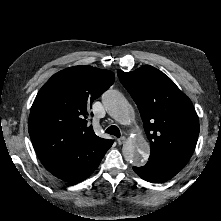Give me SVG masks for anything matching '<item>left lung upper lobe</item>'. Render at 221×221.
<instances>
[{"label":"left lung upper lobe","mask_w":221,"mask_h":221,"mask_svg":"<svg viewBox=\"0 0 221 221\" xmlns=\"http://www.w3.org/2000/svg\"><path fill=\"white\" fill-rule=\"evenodd\" d=\"M140 111L150 141V162L180 171L192 156L199 119L190 99L160 70L146 65L117 71Z\"/></svg>","instance_id":"left-lung-upper-lobe-1"}]
</instances>
